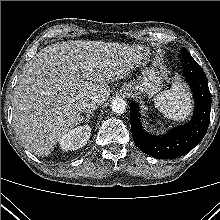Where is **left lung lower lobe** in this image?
I'll return each instance as SVG.
<instances>
[{"label": "left lung lower lobe", "mask_w": 220, "mask_h": 220, "mask_svg": "<svg viewBox=\"0 0 220 220\" xmlns=\"http://www.w3.org/2000/svg\"><path fill=\"white\" fill-rule=\"evenodd\" d=\"M182 64L195 100L194 115L189 123L164 136H150L140 125L138 105L134 102L130 104L133 140L142 152L155 158L173 159L189 152L203 139L209 126L211 94L206 75L185 48L182 51Z\"/></svg>", "instance_id": "left-lung-lower-lobe-1"}]
</instances>
